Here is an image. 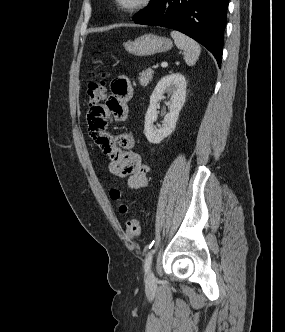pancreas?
<instances>
[{
	"label": "pancreas",
	"mask_w": 285,
	"mask_h": 332,
	"mask_svg": "<svg viewBox=\"0 0 285 332\" xmlns=\"http://www.w3.org/2000/svg\"><path fill=\"white\" fill-rule=\"evenodd\" d=\"M153 78V70L147 69L140 73L139 82L142 86H147Z\"/></svg>",
	"instance_id": "1"
}]
</instances>
